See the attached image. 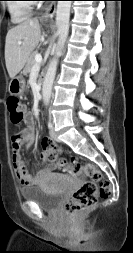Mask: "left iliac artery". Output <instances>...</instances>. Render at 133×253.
<instances>
[{
	"label": "left iliac artery",
	"mask_w": 133,
	"mask_h": 253,
	"mask_svg": "<svg viewBox=\"0 0 133 253\" xmlns=\"http://www.w3.org/2000/svg\"><path fill=\"white\" fill-rule=\"evenodd\" d=\"M48 127H49V129H51L53 127L51 120H49V122H48Z\"/></svg>",
	"instance_id": "44dca946"
}]
</instances>
